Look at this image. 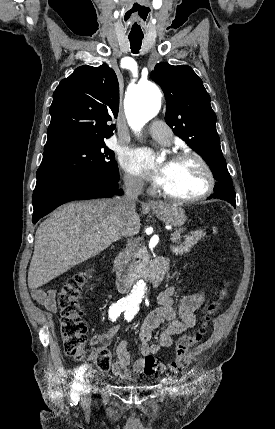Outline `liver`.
Masks as SVG:
<instances>
[{"label": "liver", "instance_id": "1", "mask_svg": "<svg viewBox=\"0 0 275 429\" xmlns=\"http://www.w3.org/2000/svg\"><path fill=\"white\" fill-rule=\"evenodd\" d=\"M117 198L73 202L60 207L40 224L28 271V286L35 290L74 266L98 255L121 236L140 230L134 212L118 215Z\"/></svg>", "mask_w": 275, "mask_h": 429}]
</instances>
